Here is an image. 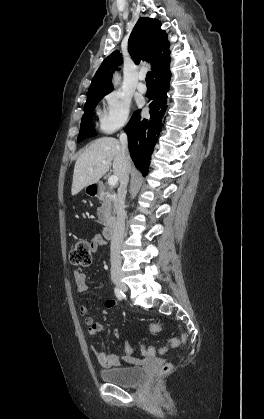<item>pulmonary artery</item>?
Here are the masks:
<instances>
[{
  "label": "pulmonary artery",
  "mask_w": 264,
  "mask_h": 419,
  "mask_svg": "<svg viewBox=\"0 0 264 419\" xmlns=\"http://www.w3.org/2000/svg\"><path fill=\"white\" fill-rule=\"evenodd\" d=\"M144 80H145V74L140 73L139 74V83L137 84V89L141 93H145L147 91V86L144 83Z\"/></svg>",
  "instance_id": "1"
}]
</instances>
